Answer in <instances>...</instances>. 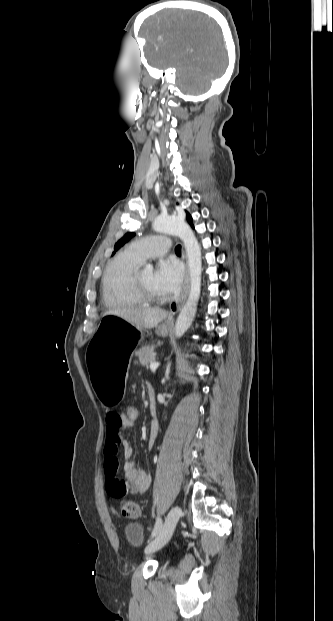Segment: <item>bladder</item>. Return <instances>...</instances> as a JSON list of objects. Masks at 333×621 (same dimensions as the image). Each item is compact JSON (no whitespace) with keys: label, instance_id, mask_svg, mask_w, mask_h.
Masks as SVG:
<instances>
[{"label":"bladder","instance_id":"bladder-1","mask_svg":"<svg viewBox=\"0 0 333 621\" xmlns=\"http://www.w3.org/2000/svg\"><path fill=\"white\" fill-rule=\"evenodd\" d=\"M124 535L127 543L137 549H142L144 546V531L141 524L137 522H130L124 528Z\"/></svg>","mask_w":333,"mask_h":621}]
</instances>
